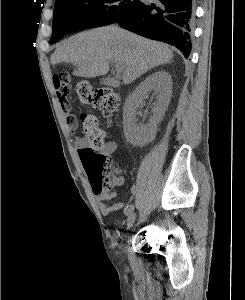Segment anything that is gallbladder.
I'll return each instance as SVG.
<instances>
[{
    "mask_svg": "<svg viewBox=\"0 0 245 300\" xmlns=\"http://www.w3.org/2000/svg\"><path fill=\"white\" fill-rule=\"evenodd\" d=\"M101 82L105 85H109V86H112V87L117 86V81L113 78H110V77L102 79Z\"/></svg>",
    "mask_w": 245,
    "mask_h": 300,
    "instance_id": "1",
    "label": "gallbladder"
}]
</instances>
